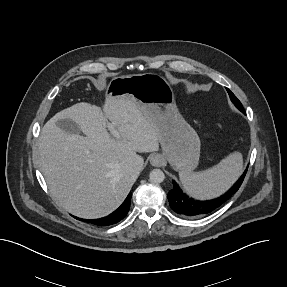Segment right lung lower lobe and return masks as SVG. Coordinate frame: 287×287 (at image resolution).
<instances>
[{
    "instance_id": "right-lung-lower-lobe-1",
    "label": "right lung lower lobe",
    "mask_w": 287,
    "mask_h": 287,
    "mask_svg": "<svg viewBox=\"0 0 287 287\" xmlns=\"http://www.w3.org/2000/svg\"><path fill=\"white\" fill-rule=\"evenodd\" d=\"M131 193L127 196L125 201L122 203V205L115 210L110 215L100 218V219H94V220H87V219H79L84 222L92 223L97 226H109L118 223L121 221L125 216L127 215L129 209H130V200H131Z\"/></svg>"
}]
</instances>
